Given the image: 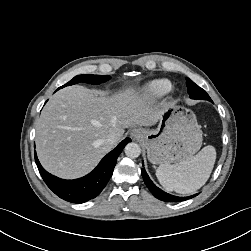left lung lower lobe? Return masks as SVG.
I'll return each instance as SVG.
<instances>
[{
    "mask_svg": "<svg viewBox=\"0 0 251 251\" xmlns=\"http://www.w3.org/2000/svg\"><path fill=\"white\" fill-rule=\"evenodd\" d=\"M141 173H142L143 180H144L146 186L151 191V193L159 200H162L165 202H180V201H185L187 199H190V198L197 195V194H195L190 197H177V196L170 195L154 185V183L151 181V179L147 175L145 169L142 168Z\"/></svg>",
    "mask_w": 251,
    "mask_h": 251,
    "instance_id": "left-lung-lower-lobe-1",
    "label": "left lung lower lobe"
}]
</instances>
